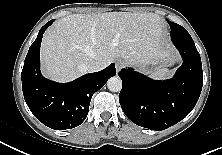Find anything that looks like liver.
<instances>
[{
	"instance_id": "liver-1",
	"label": "liver",
	"mask_w": 222,
	"mask_h": 155,
	"mask_svg": "<svg viewBox=\"0 0 222 155\" xmlns=\"http://www.w3.org/2000/svg\"><path fill=\"white\" fill-rule=\"evenodd\" d=\"M162 38L160 18L153 13L72 14L59 19L43 37V74L68 82L86 73L91 61L103 68L115 58L138 64L157 53Z\"/></svg>"
}]
</instances>
